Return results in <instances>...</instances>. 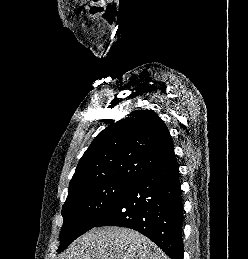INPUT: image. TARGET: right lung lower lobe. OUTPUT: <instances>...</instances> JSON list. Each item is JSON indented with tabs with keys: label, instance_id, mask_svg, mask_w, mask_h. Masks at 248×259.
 Returning <instances> with one entry per match:
<instances>
[{
	"label": "right lung lower lobe",
	"instance_id": "98d812e1",
	"mask_svg": "<svg viewBox=\"0 0 248 259\" xmlns=\"http://www.w3.org/2000/svg\"><path fill=\"white\" fill-rule=\"evenodd\" d=\"M177 161L134 180L111 211L95 226L134 229L171 259H183V205Z\"/></svg>",
	"mask_w": 248,
	"mask_h": 259
}]
</instances>
